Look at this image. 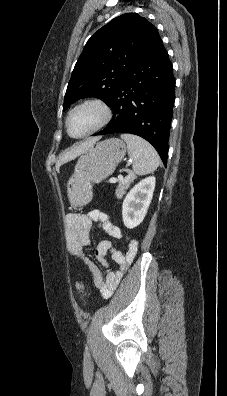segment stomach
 <instances>
[{"mask_svg": "<svg viewBox=\"0 0 227 396\" xmlns=\"http://www.w3.org/2000/svg\"><path fill=\"white\" fill-rule=\"evenodd\" d=\"M125 154L126 145L116 138L98 142L85 151L67 181L70 202L75 206L88 204L93 197L92 184L112 175Z\"/></svg>", "mask_w": 227, "mask_h": 396, "instance_id": "stomach-1", "label": "stomach"}]
</instances>
